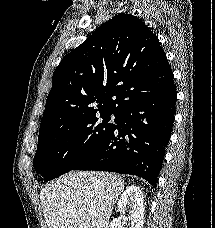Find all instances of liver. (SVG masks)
Segmentation results:
<instances>
[{"mask_svg":"<svg viewBox=\"0 0 215 228\" xmlns=\"http://www.w3.org/2000/svg\"><path fill=\"white\" fill-rule=\"evenodd\" d=\"M125 182L111 172H69L43 186L46 228H109Z\"/></svg>","mask_w":215,"mask_h":228,"instance_id":"1","label":"liver"}]
</instances>
